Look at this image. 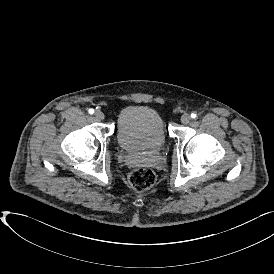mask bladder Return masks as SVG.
<instances>
[{
  "label": "bladder",
  "instance_id": "31cf9c89",
  "mask_svg": "<svg viewBox=\"0 0 274 274\" xmlns=\"http://www.w3.org/2000/svg\"><path fill=\"white\" fill-rule=\"evenodd\" d=\"M167 138L162 114L149 104L126 106L117 117L116 140L127 152H157L165 146Z\"/></svg>",
  "mask_w": 274,
  "mask_h": 274
}]
</instances>
